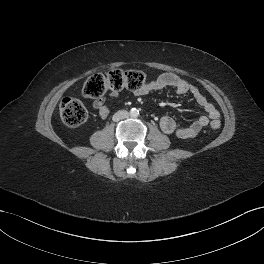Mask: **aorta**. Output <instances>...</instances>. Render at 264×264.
<instances>
[{
  "label": "aorta",
  "instance_id": "762f6f07",
  "mask_svg": "<svg viewBox=\"0 0 264 264\" xmlns=\"http://www.w3.org/2000/svg\"><path fill=\"white\" fill-rule=\"evenodd\" d=\"M138 115H139V110H138V109H136V108H132V109L130 110V116H131V117L136 118V117H138Z\"/></svg>",
  "mask_w": 264,
  "mask_h": 264
}]
</instances>
